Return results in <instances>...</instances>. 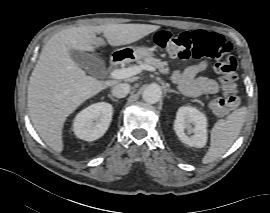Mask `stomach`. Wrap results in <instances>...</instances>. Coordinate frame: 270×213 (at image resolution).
<instances>
[{
  "instance_id": "obj_1",
  "label": "stomach",
  "mask_w": 270,
  "mask_h": 213,
  "mask_svg": "<svg viewBox=\"0 0 270 213\" xmlns=\"http://www.w3.org/2000/svg\"><path fill=\"white\" fill-rule=\"evenodd\" d=\"M154 49L147 47L129 46L120 48L117 52L121 53L122 59L125 61H138L140 59L152 56Z\"/></svg>"
}]
</instances>
